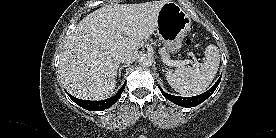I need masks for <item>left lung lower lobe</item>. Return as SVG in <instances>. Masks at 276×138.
Masks as SVG:
<instances>
[{
  "label": "left lung lower lobe",
  "mask_w": 276,
  "mask_h": 138,
  "mask_svg": "<svg viewBox=\"0 0 276 138\" xmlns=\"http://www.w3.org/2000/svg\"><path fill=\"white\" fill-rule=\"evenodd\" d=\"M220 81H221V77L217 80V82L213 85V87L209 89L207 92L193 97L173 96L168 93H165L160 86L158 87L160 88L163 96L166 99L170 100L171 102L175 103L176 105H179L182 107H194L204 102L215 91Z\"/></svg>",
  "instance_id": "0a47b994"
}]
</instances>
